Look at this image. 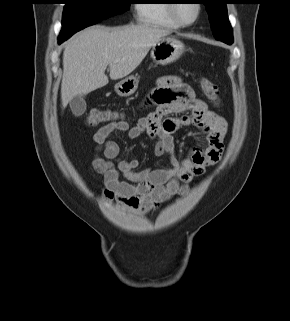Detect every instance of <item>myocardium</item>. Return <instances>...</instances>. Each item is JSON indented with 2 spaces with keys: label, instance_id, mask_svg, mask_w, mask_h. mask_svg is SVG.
<instances>
[{
  "label": "myocardium",
  "instance_id": "obj_1",
  "mask_svg": "<svg viewBox=\"0 0 290 321\" xmlns=\"http://www.w3.org/2000/svg\"><path fill=\"white\" fill-rule=\"evenodd\" d=\"M171 1H172V3H169L170 15L180 26H184V27L191 26V25L195 24L198 21V19L200 18L201 13H202V5L198 1H195L197 13H196L195 18L192 21H184L178 15V12H177V6L179 3H177L176 0H170V2Z\"/></svg>",
  "mask_w": 290,
  "mask_h": 321
}]
</instances>
